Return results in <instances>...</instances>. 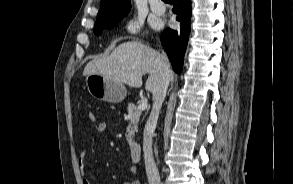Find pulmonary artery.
<instances>
[{
    "label": "pulmonary artery",
    "mask_w": 293,
    "mask_h": 184,
    "mask_svg": "<svg viewBox=\"0 0 293 184\" xmlns=\"http://www.w3.org/2000/svg\"><path fill=\"white\" fill-rule=\"evenodd\" d=\"M150 7L153 13L162 15L166 11L165 5L160 0H151Z\"/></svg>",
    "instance_id": "obj_1"
}]
</instances>
